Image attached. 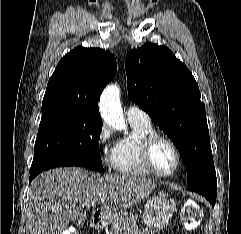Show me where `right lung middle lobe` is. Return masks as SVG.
<instances>
[{
    "label": "right lung middle lobe",
    "mask_w": 241,
    "mask_h": 234,
    "mask_svg": "<svg viewBox=\"0 0 241 234\" xmlns=\"http://www.w3.org/2000/svg\"><path fill=\"white\" fill-rule=\"evenodd\" d=\"M101 129L102 120L85 117L76 109L42 108L31 167L49 158H68L80 166L104 172L99 152Z\"/></svg>",
    "instance_id": "dd1d6c3e"
}]
</instances>
